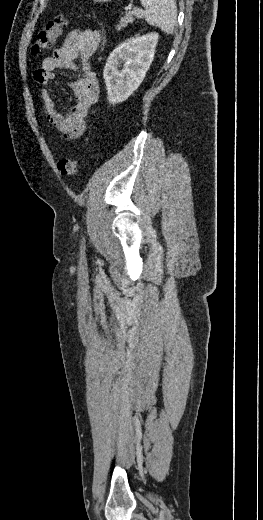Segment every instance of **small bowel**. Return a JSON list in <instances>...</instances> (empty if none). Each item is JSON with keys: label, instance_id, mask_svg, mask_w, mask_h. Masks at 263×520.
<instances>
[{"label": "small bowel", "instance_id": "1", "mask_svg": "<svg viewBox=\"0 0 263 520\" xmlns=\"http://www.w3.org/2000/svg\"><path fill=\"white\" fill-rule=\"evenodd\" d=\"M102 34L97 29H75L65 38L63 44L54 49L52 55L43 59L41 66L33 73L40 86V98L46 121L55 127L66 139H77L86 131V117L97 102L99 82L90 69L87 60L98 50ZM81 58L82 64L76 63ZM69 70L76 75L70 83L75 103L67 114H61L55 107L49 91L55 78V71Z\"/></svg>", "mask_w": 263, "mask_h": 520}]
</instances>
